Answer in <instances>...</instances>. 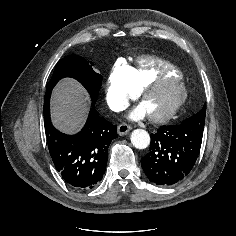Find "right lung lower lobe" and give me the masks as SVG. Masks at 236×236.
Masks as SVG:
<instances>
[{"label":"right lung lower lobe","mask_w":236,"mask_h":236,"mask_svg":"<svg viewBox=\"0 0 236 236\" xmlns=\"http://www.w3.org/2000/svg\"><path fill=\"white\" fill-rule=\"evenodd\" d=\"M44 126L55 168L69 185L88 190L101 181L106 170L108 147L117 138L116 125L103 119L92 106L82 130L67 135L52 125L49 104H45Z\"/></svg>","instance_id":"1"}]
</instances>
